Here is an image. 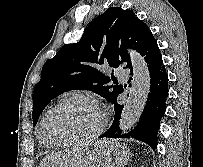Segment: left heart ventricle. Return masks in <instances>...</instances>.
I'll return each instance as SVG.
<instances>
[{"label":"left heart ventricle","instance_id":"b2bd125f","mask_svg":"<svg viewBox=\"0 0 203 167\" xmlns=\"http://www.w3.org/2000/svg\"><path fill=\"white\" fill-rule=\"evenodd\" d=\"M100 122V115L93 107L84 102H73L52 113L45 130L52 139L70 140L91 134Z\"/></svg>","mask_w":203,"mask_h":167}]
</instances>
